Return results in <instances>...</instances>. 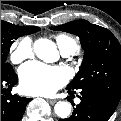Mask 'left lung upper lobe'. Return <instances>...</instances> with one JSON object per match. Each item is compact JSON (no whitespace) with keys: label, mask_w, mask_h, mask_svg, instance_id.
<instances>
[{"label":"left lung upper lobe","mask_w":121,"mask_h":121,"mask_svg":"<svg viewBox=\"0 0 121 121\" xmlns=\"http://www.w3.org/2000/svg\"><path fill=\"white\" fill-rule=\"evenodd\" d=\"M53 30L77 35L85 50L81 70L67 89H96L113 99L121 98V46L106 28L86 20L72 21Z\"/></svg>","instance_id":"obj_1"}]
</instances>
